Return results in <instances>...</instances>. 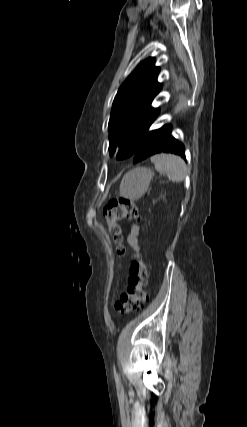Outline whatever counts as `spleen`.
<instances>
[{
  "label": "spleen",
  "mask_w": 247,
  "mask_h": 427,
  "mask_svg": "<svg viewBox=\"0 0 247 427\" xmlns=\"http://www.w3.org/2000/svg\"><path fill=\"white\" fill-rule=\"evenodd\" d=\"M151 162L157 171L165 172L172 182H182L187 175V166L179 156L164 153L157 154L151 158Z\"/></svg>",
  "instance_id": "obj_1"
}]
</instances>
